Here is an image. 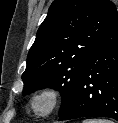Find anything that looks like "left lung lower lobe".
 I'll use <instances>...</instances> for the list:
<instances>
[{
	"mask_svg": "<svg viewBox=\"0 0 118 123\" xmlns=\"http://www.w3.org/2000/svg\"><path fill=\"white\" fill-rule=\"evenodd\" d=\"M88 116L118 121V20L93 49L59 121Z\"/></svg>",
	"mask_w": 118,
	"mask_h": 123,
	"instance_id": "obj_1",
	"label": "left lung lower lobe"
}]
</instances>
